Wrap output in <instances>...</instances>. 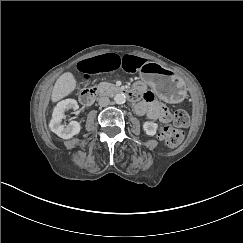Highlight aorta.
I'll use <instances>...</instances> for the list:
<instances>
[{
  "instance_id": "1",
  "label": "aorta",
  "mask_w": 243,
  "mask_h": 243,
  "mask_svg": "<svg viewBox=\"0 0 243 243\" xmlns=\"http://www.w3.org/2000/svg\"><path fill=\"white\" fill-rule=\"evenodd\" d=\"M125 100H126V97L123 93H117L114 96V102L116 104H123L125 102Z\"/></svg>"
}]
</instances>
